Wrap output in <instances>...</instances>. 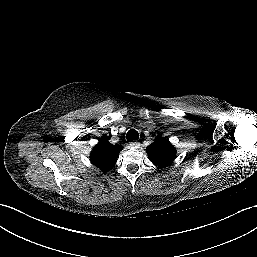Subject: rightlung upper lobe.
Here are the masks:
<instances>
[{
  "label": "right lung upper lobe",
  "instance_id": "1",
  "mask_svg": "<svg viewBox=\"0 0 257 257\" xmlns=\"http://www.w3.org/2000/svg\"><path fill=\"white\" fill-rule=\"evenodd\" d=\"M122 149L121 145H112L107 139L102 138L92 150L90 160L92 164L106 172L114 167Z\"/></svg>",
  "mask_w": 257,
  "mask_h": 257
}]
</instances>
